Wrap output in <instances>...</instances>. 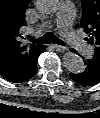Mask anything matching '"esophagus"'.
Returning <instances> with one entry per match:
<instances>
[{
    "mask_svg": "<svg viewBox=\"0 0 100 118\" xmlns=\"http://www.w3.org/2000/svg\"><path fill=\"white\" fill-rule=\"evenodd\" d=\"M50 47L53 48L56 51H59V52H62V51L66 50V47L60 46V45H55V44H51Z\"/></svg>",
    "mask_w": 100,
    "mask_h": 118,
    "instance_id": "34e87169",
    "label": "esophagus"
}]
</instances>
